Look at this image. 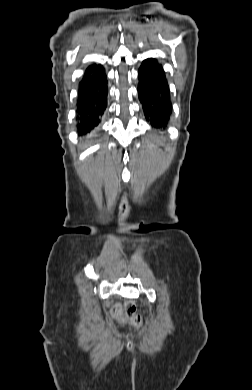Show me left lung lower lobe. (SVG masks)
I'll use <instances>...</instances> for the list:
<instances>
[{
  "label": "left lung lower lobe",
  "instance_id": "1",
  "mask_svg": "<svg viewBox=\"0 0 252 390\" xmlns=\"http://www.w3.org/2000/svg\"><path fill=\"white\" fill-rule=\"evenodd\" d=\"M138 93L146 120L152 127L164 128L172 113V104L165 72L156 59L142 62Z\"/></svg>",
  "mask_w": 252,
  "mask_h": 390
}]
</instances>
